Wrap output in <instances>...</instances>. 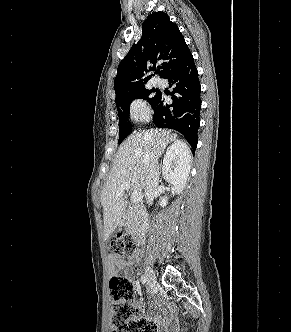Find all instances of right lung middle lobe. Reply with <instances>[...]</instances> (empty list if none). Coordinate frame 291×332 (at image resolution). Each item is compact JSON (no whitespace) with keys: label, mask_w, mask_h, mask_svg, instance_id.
<instances>
[{"label":"right lung middle lobe","mask_w":291,"mask_h":332,"mask_svg":"<svg viewBox=\"0 0 291 332\" xmlns=\"http://www.w3.org/2000/svg\"><path fill=\"white\" fill-rule=\"evenodd\" d=\"M154 92L155 94H153ZM158 94L159 91L157 89L148 90L146 87H142L116 100L119 115V143H121L131 132L132 125L128 118L130 103L134 99L142 98L147 100L152 106L157 99Z\"/></svg>","instance_id":"1"}]
</instances>
